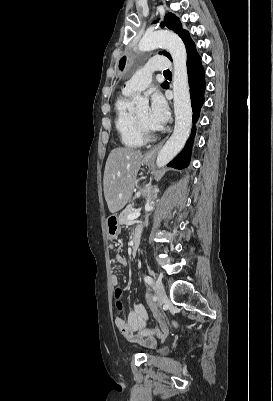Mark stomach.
<instances>
[{
	"label": "stomach",
	"mask_w": 273,
	"mask_h": 401,
	"mask_svg": "<svg viewBox=\"0 0 273 401\" xmlns=\"http://www.w3.org/2000/svg\"><path fill=\"white\" fill-rule=\"evenodd\" d=\"M143 164H148V166H151L153 162V158H148L146 154H144V158H142ZM106 231H107V237L109 241H112V239H117L118 235H120V225L118 221L117 215H110V217H107L106 219Z\"/></svg>",
	"instance_id": "1"
}]
</instances>
